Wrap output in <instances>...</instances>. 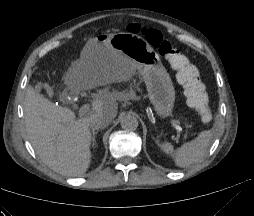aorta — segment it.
I'll use <instances>...</instances> for the list:
<instances>
[{"mask_svg": "<svg viewBox=\"0 0 254 216\" xmlns=\"http://www.w3.org/2000/svg\"><path fill=\"white\" fill-rule=\"evenodd\" d=\"M121 127L126 131H134L138 128V120L134 115L126 114L121 118Z\"/></svg>", "mask_w": 254, "mask_h": 216, "instance_id": "obj_1", "label": "aorta"}]
</instances>
